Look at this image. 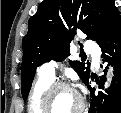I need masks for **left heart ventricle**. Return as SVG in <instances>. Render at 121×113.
Returning a JSON list of instances; mask_svg holds the SVG:
<instances>
[{
  "label": "left heart ventricle",
  "mask_w": 121,
  "mask_h": 113,
  "mask_svg": "<svg viewBox=\"0 0 121 113\" xmlns=\"http://www.w3.org/2000/svg\"><path fill=\"white\" fill-rule=\"evenodd\" d=\"M55 105L53 110L57 112H69L77 106V98L69 90H59L55 95Z\"/></svg>",
  "instance_id": "left-heart-ventricle-1"
}]
</instances>
